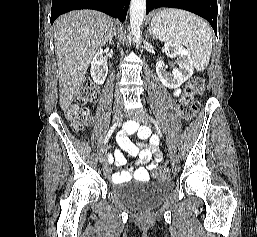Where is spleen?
Instances as JSON below:
<instances>
[{
	"label": "spleen",
	"mask_w": 257,
	"mask_h": 237,
	"mask_svg": "<svg viewBox=\"0 0 257 237\" xmlns=\"http://www.w3.org/2000/svg\"><path fill=\"white\" fill-rule=\"evenodd\" d=\"M151 28L160 41L184 45L198 71L208 66L212 51V31L204 20L186 11L164 9L153 16Z\"/></svg>",
	"instance_id": "obj_1"
}]
</instances>
